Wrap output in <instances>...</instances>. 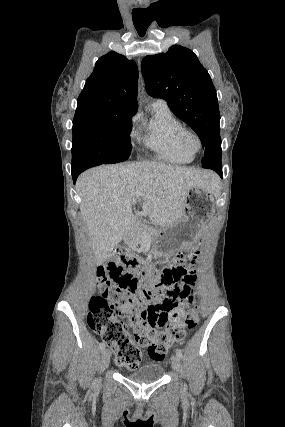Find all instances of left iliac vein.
Here are the masks:
<instances>
[{
    "label": "left iliac vein",
    "mask_w": 285,
    "mask_h": 427,
    "mask_svg": "<svg viewBox=\"0 0 285 427\" xmlns=\"http://www.w3.org/2000/svg\"><path fill=\"white\" fill-rule=\"evenodd\" d=\"M172 368L175 371V373H179L180 372V358L178 355H174L172 357Z\"/></svg>",
    "instance_id": "obj_1"
}]
</instances>
